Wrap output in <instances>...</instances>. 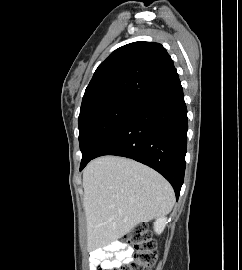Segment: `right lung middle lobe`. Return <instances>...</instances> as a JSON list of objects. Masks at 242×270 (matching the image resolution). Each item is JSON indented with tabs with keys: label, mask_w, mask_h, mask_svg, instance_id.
<instances>
[{
	"label": "right lung middle lobe",
	"mask_w": 242,
	"mask_h": 270,
	"mask_svg": "<svg viewBox=\"0 0 242 270\" xmlns=\"http://www.w3.org/2000/svg\"><path fill=\"white\" fill-rule=\"evenodd\" d=\"M136 102L118 100L90 108L79 115L81 163L90 160L117 130Z\"/></svg>",
	"instance_id": "right-lung-middle-lobe-1"
}]
</instances>
